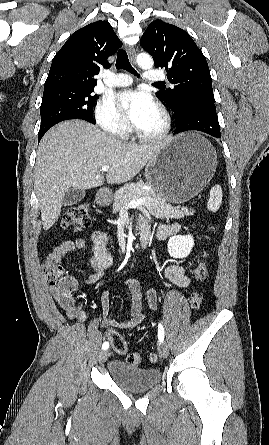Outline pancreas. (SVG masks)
<instances>
[{"label":"pancreas","mask_w":269,"mask_h":445,"mask_svg":"<svg viewBox=\"0 0 269 445\" xmlns=\"http://www.w3.org/2000/svg\"><path fill=\"white\" fill-rule=\"evenodd\" d=\"M143 182L126 184L120 188L114 195L113 213L126 207L130 201L145 198L147 202L144 206L156 218H172L179 219L184 216L193 215V210L187 207H173L167 204L166 201L152 191L142 190Z\"/></svg>","instance_id":"1"}]
</instances>
